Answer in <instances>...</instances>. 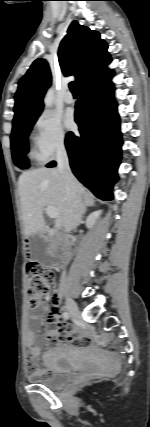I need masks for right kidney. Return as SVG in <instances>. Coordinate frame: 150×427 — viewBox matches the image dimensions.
<instances>
[{"mask_svg":"<svg viewBox=\"0 0 150 427\" xmlns=\"http://www.w3.org/2000/svg\"><path fill=\"white\" fill-rule=\"evenodd\" d=\"M101 210H97L95 212H92L86 219V226L87 228H92L93 225L95 224L96 220L98 219V217L101 214Z\"/></svg>","mask_w":150,"mask_h":427,"instance_id":"ca27d5eb","label":"right kidney"}]
</instances>
